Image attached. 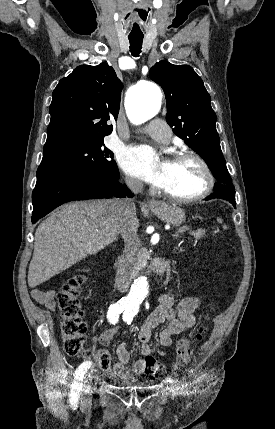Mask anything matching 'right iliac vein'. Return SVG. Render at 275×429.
Listing matches in <instances>:
<instances>
[{"label":"right iliac vein","mask_w":275,"mask_h":429,"mask_svg":"<svg viewBox=\"0 0 275 429\" xmlns=\"http://www.w3.org/2000/svg\"><path fill=\"white\" fill-rule=\"evenodd\" d=\"M89 383H90V375L85 377L82 382L81 394H82V399L85 402H87L90 399L89 395L87 394L88 391L90 390Z\"/></svg>","instance_id":"1"}]
</instances>
